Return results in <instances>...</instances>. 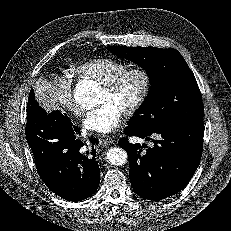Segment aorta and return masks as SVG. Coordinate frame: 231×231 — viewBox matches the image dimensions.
<instances>
[{
  "instance_id": "762f6f07",
  "label": "aorta",
  "mask_w": 231,
  "mask_h": 231,
  "mask_svg": "<svg viewBox=\"0 0 231 231\" xmlns=\"http://www.w3.org/2000/svg\"><path fill=\"white\" fill-rule=\"evenodd\" d=\"M98 88L88 82H79L74 90V98L82 108H92L96 105V94ZM108 161L115 166H122L128 160L127 152L120 147L110 148L107 152Z\"/></svg>"
}]
</instances>
